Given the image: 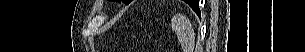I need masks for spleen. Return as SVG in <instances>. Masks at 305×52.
I'll return each instance as SVG.
<instances>
[{"label": "spleen", "instance_id": "1", "mask_svg": "<svg viewBox=\"0 0 305 52\" xmlns=\"http://www.w3.org/2000/svg\"><path fill=\"white\" fill-rule=\"evenodd\" d=\"M184 25H185V21H184V18L182 16H177V17H174L172 19V28L176 32V34L178 36V39H179V36H180V33H181V27H184ZM181 45L183 47L182 42H181Z\"/></svg>", "mask_w": 305, "mask_h": 52}]
</instances>
